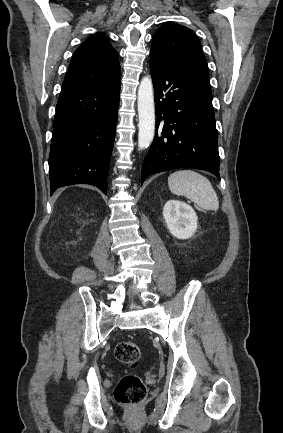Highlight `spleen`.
<instances>
[{
  "mask_svg": "<svg viewBox=\"0 0 283 433\" xmlns=\"http://www.w3.org/2000/svg\"><path fill=\"white\" fill-rule=\"evenodd\" d=\"M168 184L173 194H183L200 208L218 210V196L208 178L194 170H177L168 176Z\"/></svg>",
  "mask_w": 283,
  "mask_h": 433,
  "instance_id": "3e777b00",
  "label": "spleen"
}]
</instances>
